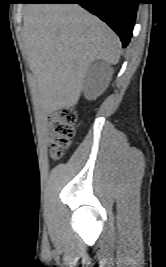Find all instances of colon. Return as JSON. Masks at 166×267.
<instances>
[{
  "label": "colon",
  "instance_id": "5ec220e1",
  "mask_svg": "<svg viewBox=\"0 0 166 267\" xmlns=\"http://www.w3.org/2000/svg\"><path fill=\"white\" fill-rule=\"evenodd\" d=\"M76 121L77 112L72 107L63 108L50 114L49 122L52 127L50 153L52 158L60 159L71 144L75 133Z\"/></svg>",
  "mask_w": 166,
  "mask_h": 267
}]
</instances>
